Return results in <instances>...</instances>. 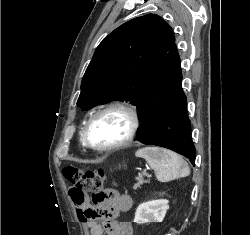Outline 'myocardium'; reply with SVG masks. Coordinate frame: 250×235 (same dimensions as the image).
Here are the masks:
<instances>
[{"label":"myocardium","instance_id":"1","mask_svg":"<svg viewBox=\"0 0 250 235\" xmlns=\"http://www.w3.org/2000/svg\"><path fill=\"white\" fill-rule=\"evenodd\" d=\"M109 112H121L127 117L128 120L127 132L125 136L116 143L107 146H96L92 144V142L90 141L89 128L92 122L98 116ZM139 127H140V115L137 108L128 102L113 101L98 108L88 117L83 127V134H82L83 143L89 149L97 152H111L129 145L136 137Z\"/></svg>","mask_w":250,"mask_h":235}]
</instances>
